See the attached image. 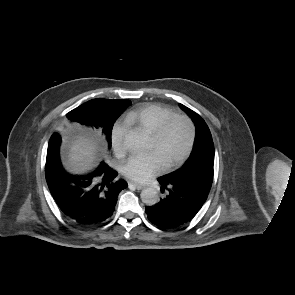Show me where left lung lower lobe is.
I'll return each instance as SVG.
<instances>
[{
	"mask_svg": "<svg viewBox=\"0 0 295 295\" xmlns=\"http://www.w3.org/2000/svg\"><path fill=\"white\" fill-rule=\"evenodd\" d=\"M158 181L161 191L166 190V197L145 211L153 224L165 229L190 221L206 201L212 185L208 179L187 182L160 177Z\"/></svg>",
	"mask_w": 295,
	"mask_h": 295,
	"instance_id": "obj_1",
	"label": "left lung lower lobe"
}]
</instances>
